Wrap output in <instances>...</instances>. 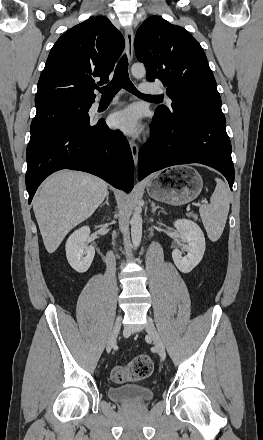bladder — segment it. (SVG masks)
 <instances>
[{"label":"bladder","mask_w":263,"mask_h":440,"mask_svg":"<svg viewBox=\"0 0 263 440\" xmlns=\"http://www.w3.org/2000/svg\"><path fill=\"white\" fill-rule=\"evenodd\" d=\"M107 395L114 402L137 405L146 404L153 399V393L149 389L132 385L109 387Z\"/></svg>","instance_id":"1"}]
</instances>
